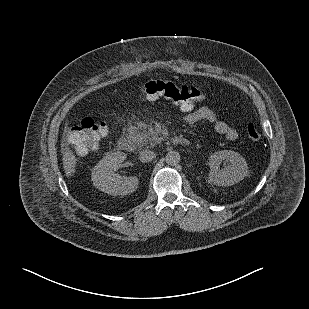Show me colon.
Instances as JSON below:
<instances>
[{
	"mask_svg": "<svg viewBox=\"0 0 309 309\" xmlns=\"http://www.w3.org/2000/svg\"><path fill=\"white\" fill-rule=\"evenodd\" d=\"M140 93L149 99L165 97L171 101L185 106L194 105L204 99L203 91L193 85H176L172 82L152 80L140 87ZM107 124L92 118H84L72 131V141L76 144L77 151L82 154V149L88 144L97 145L100 138L107 133ZM247 135L252 141L261 137L256 124L249 123L246 128Z\"/></svg>",
	"mask_w": 309,
	"mask_h": 309,
	"instance_id": "colon-1",
	"label": "colon"
}]
</instances>
